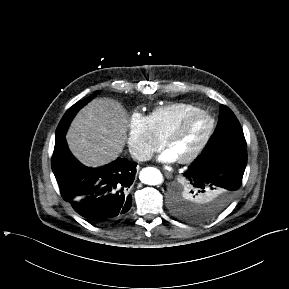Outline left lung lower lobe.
I'll return each instance as SVG.
<instances>
[{
	"label": "left lung lower lobe",
	"mask_w": 289,
	"mask_h": 289,
	"mask_svg": "<svg viewBox=\"0 0 289 289\" xmlns=\"http://www.w3.org/2000/svg\"><path fill=\"white\" fill-rule=\"evenodd\" d=\"M246 164L244 146L215 150L201 154L184 173V181L209 196L208 212L218 215L231 203L240 188Z\"/></svg>",
	"instance_id": "obj_1"
}]
</instances>
